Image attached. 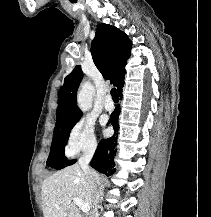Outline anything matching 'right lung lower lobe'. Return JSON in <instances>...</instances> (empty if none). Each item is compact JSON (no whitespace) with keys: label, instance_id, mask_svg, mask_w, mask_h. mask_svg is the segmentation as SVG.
<instances>
[{"label":"right lung lower lobe","instance_id":"98d812e1","mask_svg":"<svg viewBox=\"0 0 211 217\" xmlns=\"http://www.w3.org/2000/svg\"><path fill=\"white\" fill-rule=\"evenodd\" d=\"M120 96L122 97V89L118 90ZM120 110L115 109L114 112L111 114L110 122L116 132L117 128V120L119 116ZM116 136L113 135L111 138L103 139L99 143L97 150L91 160V166L96 169L97 171L110 176L114 173V156L116 152Z\"/></svg>","mask_w":211,"mask_h":217}]
</instances>
